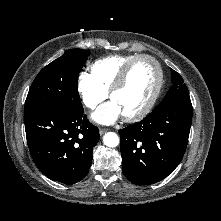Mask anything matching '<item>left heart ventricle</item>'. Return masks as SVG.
Segmentation results:
<instances>
[{
	"mask_svg": "<svg viewBox=\"0 0 221 221\" xmlns=\"http://www.w3.org/2000/svg\"><path fill=\"white\" fill-rule=\"evenodd\" d=\"M157 77V69L149 60H140L132 67L124 86L111 98L123 116L135 114L144 107L155 89Z\"/></svg>",
	"mask_w": 221,
	"mask_h": 221,
	"instance_id": "b2bd125f",
	"label": "left heart ventricle"
}]
</instances>
